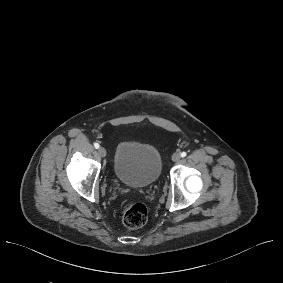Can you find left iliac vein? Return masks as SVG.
<instances>
[{
	"label": "left iliac vein",
	"instance_id": "4c4485c4",
	"mask_svg": "<svg viewBox=\"0 0 283 283\" xmlns=\"http://www.w3.org/2000/svg\"><path fill=\"white\" fill-rule=\"evenodd\" d=\"M181 159V155L179 153H174L172 156V160L174 162H178Z\"/></svg>",
	"mask_w": 283,
	"mask_h": 283
}]
</instances>
